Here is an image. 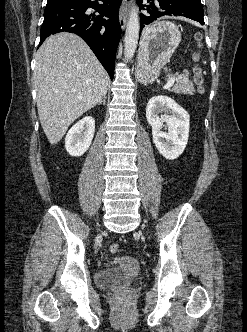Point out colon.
Listing matches in <instances>:
<instances>
[{"label": "colon", "instance_id": "1", "mask_svg": "<svg viewBox=\"0 0 247 332\" xmlns=\"http://www.w3.org/2000/svg\"><path fill=\"white\" fill-rule=\"evenodd\" d=\"M197 40L200 41L201 40V36L198 35L197 36ZM194 60L196 62V65L194 67V80H195V83L199 86L200 90H202V86H203V83H204V75H203V69L200 65V53L197 52L195 55H194ZM110 251L111 253L113 254H116L120 251V246L117 244V243H113L110 245Z\"/></svg>", "mask_w": 247, "mask_h": 332}]
</instances>
